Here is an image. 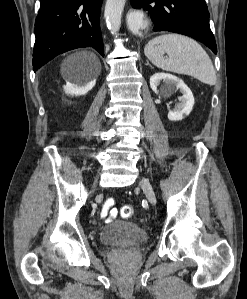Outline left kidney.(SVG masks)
Masks as SVG:
<instances>
[{
    "mask_svg": "<svg viewBox=\"0 0 247 299\" xmlns=\"http://www.w3.org/2000/svg\"><path fill=\"white\" fill-rule=\"evenodd\" d=\"M164 82V89L173 91L175 88L179 89L183 94L180 98V102L175 106L173 110H169L168 118L171 121H180L185 116L189 115L193 109L194 97L190 88L177 77L167 73H156L150 77V87L157 93L160 82Z\"/></svg>",
    "mask_w": 247,
    "mask_h": 299,
    "instance_id": "obj_1",
    "label": "left kidney"
}]
</instances>
